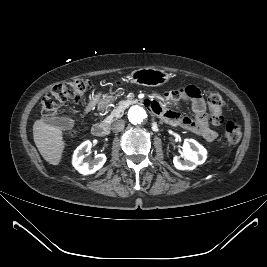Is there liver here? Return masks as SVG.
<instances>
[{"instance_id": "liver-1", "label": "liver", "mask_w": 267, "mask_h": 267, "mask_svg": "<svg viewBox=\"0 0 267 267\" xmlns=\"http://www.w3.org/2000/svg\"><path fill=\"white\" fill-rule=\"evenodd\" d=\"M100 93L90 99L85 108L89 112L98 102ZM33 139L42 157L52 165H58L65 148L62 129L46 124L43 120H37L33 125Z\"/></svg>"}]
</instances>
